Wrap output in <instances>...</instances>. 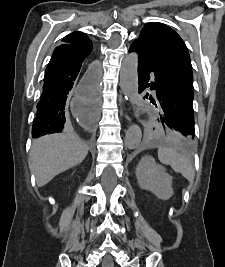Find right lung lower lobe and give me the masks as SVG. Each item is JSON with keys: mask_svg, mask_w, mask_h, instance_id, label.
<instances>
[{"mask_svg": "<svg viewBox=\"0 0 225 267\" xmlns=\"http://www.w3.org/2000/svg\"><path fill=\"white\" fill-rule=\"evenodd\" d=\"M91 50L92 43H63L55 48L45 70L43 92L33 122V138L65 129L66 100L76 86L80 70ZM95 90V80H91L87 89L89 97L95 94Z\"/></svg>", "mask_w": 225, "mask_h": 267, "instance_id": "right-lung-lower-lobe-1", "label": "right lung lower lobe"}]
</instances>
